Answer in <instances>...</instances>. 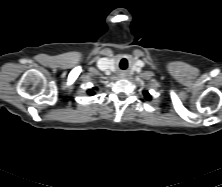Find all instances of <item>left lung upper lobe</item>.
Returning a JSON list of instances; mask_svg holds the SVG:
<instances>
[{"label": "left lung upper lobe", "mask_w": 222, "mask_h": 187, "mask_svg": "<svg viewBox=\"0 0 222 187\" xmlns=\"http://www.w3.org/2000/svg\"><path fill=\"white\" fill-rule=\"evenodd\" d=\"M144 96L147 100H151V95L148 93V91L144 92Z\"/></svg>", "instance_id": "1"}]
</instances>
